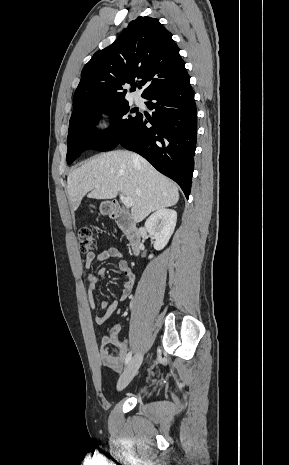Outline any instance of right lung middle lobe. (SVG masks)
<instances>
[{
	"mask_svg": "<svg viewBox=\"0 0 289 465\" xmlns=\"http://www.w3.org/2000/svg\"><path fill=\"white\" fill-rule=\"evenodd\" d=\"M99 111L108 112L114 117L111 120V127L102 133L94 128V118ZM129 112L135 111L130 109L126 99L100 100L80 105L77 108L76 120L69 127L67 163L71 164L88 146L98 151L114 149L133 129L141 116L140 113L131 116L128 115Z\"/></svg>",
	"mask_w": 289,
	"mask_h": 465,
	"instance_id": "dd1d6c3e",
	"label": "right lung middle lobe"
}]
</instances>
